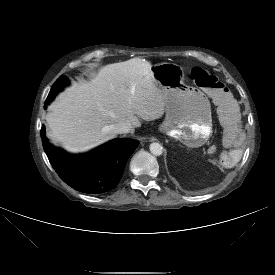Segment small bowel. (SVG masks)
I'll list each match as a JSON object with an SVG mask.
<instances>
[{
    "instance_id": "c3829d8e",
    "label": "small bowel",
    "mask_w": 275,
    "mask_h": 275,
    "mask_svg": "<svg viewBox=\"0 0 275 275\" xmlns=\"http://www.w3.org/2000/svg\"><path fill=\"white\" fill-rule=\"evenodd\" d=\"M221 123L223 124L226 150L219 157L218 163L221 168L228 169L235 166L242 157L240 146L245 135L242 131L241 115L239 106L233 98L220 103L217 108Z\"/></svg>"
}]
</instances>
